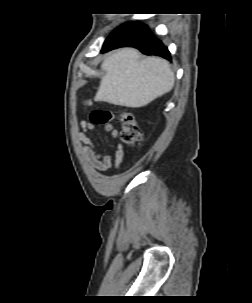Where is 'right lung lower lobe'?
I'll return each instance as SVG.
<instances>
[{
    "label": "right lung lower lobe",
    "instance_id": "right-lung-lower-lobe-1",
    "mask_svg": "<svg viewBox=\"0 0 252 303\" xmlns=\"http://www.w3.org/2000/svg\"><path fill=\"white\" fill-rule=\"evenodd\" d=\"M135 47L146 55H157L170 60V52L145 24L125 23L105 40L102 53L118 47Z\"/></svg>",
    "mask_w": 252,
    "mask_h": 303
}]
</instances>
